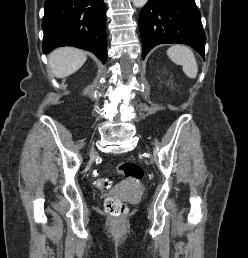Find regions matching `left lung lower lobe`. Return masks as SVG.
<instances>
[{"instance_id":"left-lung-lower-lobe-1","label":"left lung lower lobe","mask_w":248,"mask_h":258,"mask_svg":"<svg viewBox=\"0 0 248 258\" xmlns=\"http://www.w3.org/2000/svg\"><path fill=\"white\" fill-rule=\"evenodd\" d=\"M142 58L156 45L181 43L203 59L206 36L195 0H148L139 16Z\"/></svg>"}]
</instances>
